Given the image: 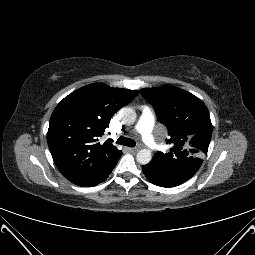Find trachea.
<instances>
[{"mask_svg": "<svg viewBox=\"0 0 255 255\" xmlns=\"http://www.w3.org/2000/svg\"><path fill=\"white\" fill-rule=\"evenodd\" d=\"M117 144H120V145H125V146H128V147H134L136 145L135 141H133L132 139L130 138H127V137H123L121 136L120 138H118V140L116 141Z\"/></svg>", "mask_w": 255, "mask_h": 255, "instance_id": "obj_1", "label": "trachea"}]
</instances>
